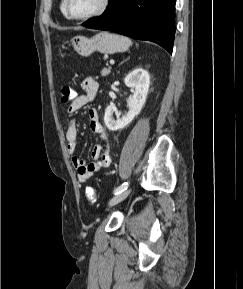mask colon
I'll use <instances>...</instances> for the list:
<instances>
[{"instance_id":"colon-1","label":"colon","mask_w":243,"mask_h":289,"mask_svg":"<svg viewBox=\"0 0 243 289\" xmlns=\"http://www.w3.org/2000/svg\"><path fill=\"white\" fill-rule=\"evenodd\" d=\"M74 98V91L69 86H64L61 89V100L63 103H68ZM86 198L89 202L96 201V193L92 187H87L85 192Z\"/></svg>"}]
</instances>
